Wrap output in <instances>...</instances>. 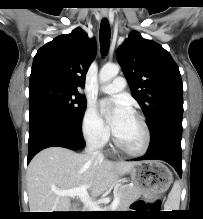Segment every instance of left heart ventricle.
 I'll return each instance as SVG.
<instances>
[{
  "label": "left heart ventricle",
  "mask_w": 203,
  "mask_h": 219,
  "mask_svg": "<svg viewBox=\"0 0 203 219\" xmlns=\"http://www.w3.org/2000/svg\"><path fill=\"white\" fill-rule=\"evenodd\" d=\"M118 140L130 149H138L144 140L140 122L134 115L128 116L114 132Z\"/></svg>",
  "instance_id": "b2bd125f"
}]
</instances>
